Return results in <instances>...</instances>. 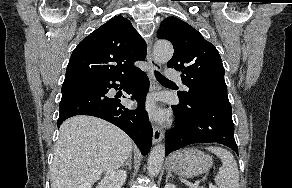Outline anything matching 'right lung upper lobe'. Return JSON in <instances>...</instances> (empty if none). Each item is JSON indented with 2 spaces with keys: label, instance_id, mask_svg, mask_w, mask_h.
<instances>
[{
  "label": "right lung upper lobe",
  "instance_id": "cb5924a9",
  "mask_svg": "<svg viewBox=\"0 0 292 188\" xmlns=\"http://www.w3.org/2000/svg\"><path fill=\"white\" fill-rule=\"evenodd\" d=\"M146 44L131 22L116 16L85 37L74 49L65 79L124 77L139 70Z\"/></svg>",
  "mask_w": 292,
  "mask_h": 188
}]
</instances>
